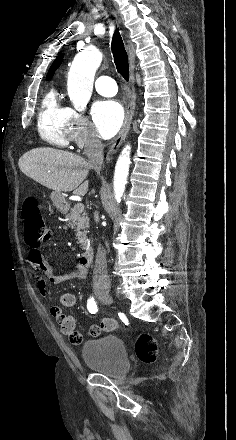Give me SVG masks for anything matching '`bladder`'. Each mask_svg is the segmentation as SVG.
I'll return each mask as SVG.
<instances>
[{
  "label": "bladder",
  "mask_w": 236,
  "mask_h": 440,
  "mask_svg": "<svg viewBox=\"0 0 236 440\" xmlns=\"http://www.w3.org/2000/svg\"><path fill=\"white\" fill-rule=\"evenodd\" d=\"M81 354L90 369L110 377L126 374L130 368L126 346L116 336H104L85 342Z\"/></svg>",
  "instance_id": "bladder-1"
}]
</instances>
